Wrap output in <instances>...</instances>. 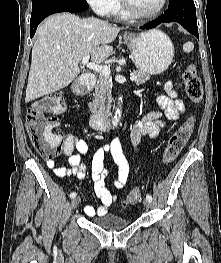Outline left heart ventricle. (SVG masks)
<instances>
[{"label":"left heart ventricle","mask_w":221,"mask_h":263,"mask_svg":"<svg viewBox=\"0 0 221 263\" xmlns=\"http://www.w3.org/2000/svg\"><path fill=\"white\" fill-rule=\"evenodd\" d=\"M132 5L141 12H151L159 7L162 0H130Z\"/></svg>","instance_id":"left-heart-ventricle-1"}]
</instances>
